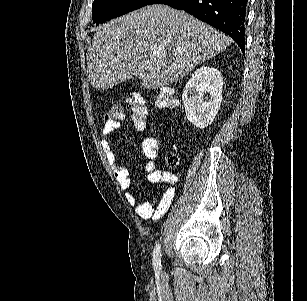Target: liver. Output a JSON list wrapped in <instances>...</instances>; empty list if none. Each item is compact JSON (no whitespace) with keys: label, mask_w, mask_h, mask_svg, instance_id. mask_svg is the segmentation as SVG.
<instances>
[{"label":"liver","mask_w":307,"mask_h":301,"mask_svg":"<svg viewBox=\"0 0 307 301\" xmlns=\"http://www.w3.org/2000/svg\"><path fill=\"white\" fill-rule=\"evenodd\" d=\"M87 54L94 88L138 76L143 88L169 86L225 50L230 36L167 4H149L97 26Z\"/></svg>","instance_id":"6515ba94"}]
</instances>
